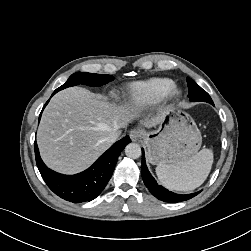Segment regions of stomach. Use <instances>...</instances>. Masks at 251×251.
Masks as SVG:
<instances>
[{
    "label": "stomach",
    "mask_w": 251,
    "mask_h": 251,
    "mask_svg": "<svg viewBox=\"0 0 251 251\" xmlns=\"http://www.w3.org/2000/svg\"><path fill=\"white\" fill-rule=\"evenodd\" d=\"M144 143L150 163L176 164L197 153L202 137L188 114L170 108L156 130L144 132Z\"/></svg>",
    "instance_id": "stomach-1"
}]
</instances>
